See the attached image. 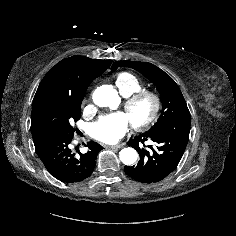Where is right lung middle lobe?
I'll use <instances>...</instances> for the list:
<instances>
[{"instance_id": "right-lung-middle-lobe-1", "label": "right lung middle lobe", "mask_w": 236, "mask_h": 236, "mask_svg": "<svg viewBox=\"0 0 236 236\" xmlns=\"http://www.w3.org/2000/svg\"><path fill=\"white\" fill-rule=\"evenodd\" d=\"M84 95L77 97H50L32 113L31 129L47 130L65 136L74 135L73 121L81 117Z\"/></svg>"}]
</instances>
